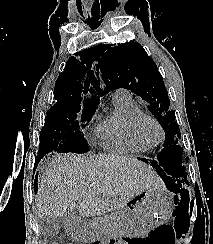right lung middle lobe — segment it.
<instances>
[{
    "label": "right lung middle lobe",
    "instance_id": "1",
    "mask_svg": "<svg viewBox=\"0 0 213 244\" xmlns=\"http://www.w3.org/2000/svg\"><path fill=\"white\" fill-rule=\"evenodd\" d=\"M83 109V110H82ZM81 119L90 121L95 110L93 107L68 105L51 107L45 117V125L40 133L38 155L48 152H78L89 151L84 136L80 131L79 114Z\"/></svg>",
    "mask_w": 213,
    "mask_h": 244
}]
</instances>
